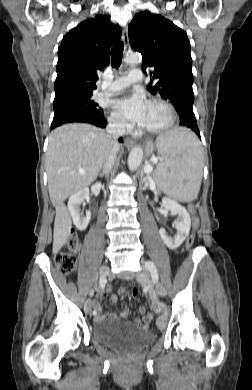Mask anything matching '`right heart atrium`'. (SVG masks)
I'll list each match as a JSON object with an SVG mask.
<instances>
[{
  "label": "right heart atrium",
  "instance_id": "d8ad5b80",
  "mask_svg": "<svg viewBox=\"0 0 252 390\" xmlns=\"http://www.w3.org/2000/svg\"><path fill=\"white\" fill-rule=\"evenodd\" d=\"M109 122L112 128L120 131H125L129 128V125L124 120L114 114L109 117Z\"/></svg>",
  "mask_w": 252,
  "mask_h": 390
}]
</instances>
